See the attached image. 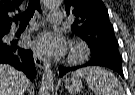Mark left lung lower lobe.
<instances>
[{
	"label": "left lung lower lobe",
	"instance_id": "0a47b994",
	"mask_svg": "<svg viewBox=\"0 0 135 95\" xmlns=\"http://www.w3.org/2000/svg\"><path fill=\"white\" fill-rule=\"evenodd\" d=\"M122 58L115 48H110L104 53H91V59L86 64L76 67H59V76L62 77L69 71H74L85 66H104L118 72L123 77L121 67Z\"/></svg>",
	"mask_w": 135,
	"mask_h": 95
}]
</instances>
